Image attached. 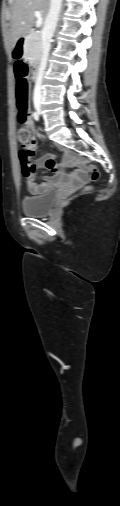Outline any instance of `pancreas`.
<instances>
[{
  "label": "pancreas",
  "instance_id": "1",
  "mask_svg": "<svg viewBox=\"0 0 120 506\" xmlns=\"http://www.w3.org/2000/svg\"><path fill=\"white\" fill-rule=\"evenodd\" d=\"M42 53L41 34L31 31L26 37L24 58L31 63L40 59Z\"/></svg>",
  "mask_w": 120,
  "mask_h": 506
}]
</instances>
